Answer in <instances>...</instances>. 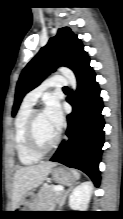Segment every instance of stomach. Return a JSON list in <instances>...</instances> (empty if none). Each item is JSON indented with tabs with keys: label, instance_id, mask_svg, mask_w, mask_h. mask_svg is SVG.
<instances>
[{
	"label": "stomach",
	"instance_id": "stomach-1",
	"mask_svg": "<svg viewBox=\"0 0 123 219\" xmlns=\"http://www.w3.org/2000/svg\"><path fill=\"white\" fill-rule=\"evenodd\" d=\"M51 175L56 182L61 184H71L76 179V177L71 172H69L65 168L57 166L51 169ZM37 203L38 200L35 194L33 192H29L27 194V197L24 198V200L20 204L22 206V209L25 210L20 211H34V209H36Z\"/></svg>",
	"mask_w": 123,
	"mask_h": 219
}]
</instances>
